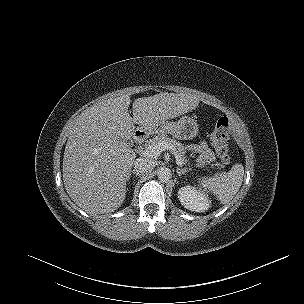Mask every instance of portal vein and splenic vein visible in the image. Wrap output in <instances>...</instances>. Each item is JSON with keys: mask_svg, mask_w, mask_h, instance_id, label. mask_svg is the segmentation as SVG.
<instances>
[{"mask_svg": "<svg viewBox=\"0 0 304 304\" xmlns=\"http://www.w3.org/2000/svg\"><path fill=\"white\" fill-rule=\"evenodd\" d=\"M168 145L164 142L155 144L153 146H150L148 148H146L145 150H142V154H144L147 157H156L158 155H160L163 151H165L166 149H168ZM175 158H176V162L178 165H181L182 162L180 161L178 155L174 154Z\"/></svg>", "mask_w": 304, "mask_h": 304, "instance_id": "18ae733b", "label": "portal vein and splenic vein"}]
</instances>
